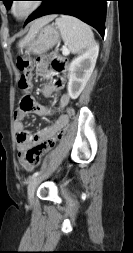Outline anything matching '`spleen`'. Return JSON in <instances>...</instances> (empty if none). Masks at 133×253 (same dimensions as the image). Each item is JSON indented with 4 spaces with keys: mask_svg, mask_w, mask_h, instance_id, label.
Wrapping results in <instances>:
<instances>
[{
    "mask_svg": "<svg viewBox=\"0 0 133 253\" xmlns=\"http://www.w3.org/2000/svg\"><path fill=\"white\" fill-rule=\"evenodd\" d=\"M56 26L65 45L73 54L80 53L94 44V35L89 25L75 17L62 15L56 19Z\"/></svg>",
    "mask_w": 133,
    "mask_h": 253,
    "instance_id": "1",
    "label": "spleen"
}]
</instances>
